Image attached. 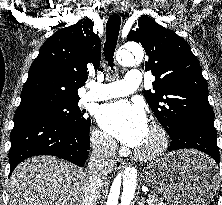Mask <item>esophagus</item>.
I'll return each instance as SVG.
<instances>
[{"mask_svg": "<svg viewBox=\"0 0 222 205\" xmlns=\"http://www.w3.org/2000/svg\"><path fill=\"white\" fill-rule=\"evenodd\" d=\"M112 11H113L114 13H118V12L121 11V7H119V6H114V7L112 8ZM124 166H125V162H124L123 160L118 159V160L115 161V167H116L117 169H120V168H122V167H124Z\"/></svg>", "mask_w": 222, "mask_h": 205, "instance_id": "1", "label": "esophagus"}]
</instances>
